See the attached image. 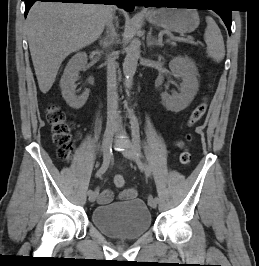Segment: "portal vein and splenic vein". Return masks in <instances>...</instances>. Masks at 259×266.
I'll use <instances>...</instances> for the list:
<instances>
[{
  "label": "portal vein and splenic vein",
  "instance_id": "portal-vein-and-splenic-vein-1",
  "mask_svg": "<svg viewBox=\"0 0 259 266\" xmlns=\"http://www.w3.org/2000/svg\"><path fill=\"white\" fill-rule=\"evenodd\" d=\"M170 39L174 40V41H178V42H188V43H193L194 44V41L186 39V38L170 36Z\"/></svg>",
  "mask_w": 259,
  "mask_h": 266
}]
</instances>
